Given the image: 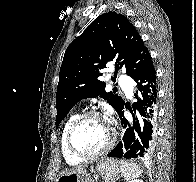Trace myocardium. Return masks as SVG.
Listing matches in <instances>:
<instances>
[{
    "label": "myocardium",
    "mask_w": 196,
    "mask_h": 182,
    "mask_svg": "<svg viewBox=\"0 0 196 182\" xmlns=\"http://www.w3.org/2000/svg\"><path fill=\"white\" fill-rule=\"evenodd\" d=\"M91 117L103 119L107 123L108 129H109V136H108L107 143L105 144V146L101 150H99L95 153L86 154V153L79 151L74 146L73 136H74V133H75L77 127L84 120L91 118ZM114 142H115V133H114L113 127L111 126L110 122L107 120V118L102 113L95 111V110H90V111H87V112H84V113L78 115L74 119V121L71 123V125L67 131V135H66V145H67L69 152L72 155H74L75 157L80 158L82 160H91V159H95V158H98V157L105 155L106 153H108L111 150V148L114 145Z\"/></svg>",
    "instance_id": "f54148a6"
}]
</instances>
